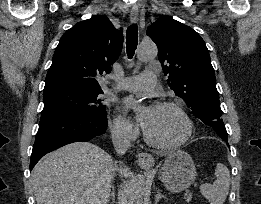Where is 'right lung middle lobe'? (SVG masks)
<instances>
[{
	"label": "right lung middle lobe",
	"mask_w": 261,
	"mask_h": 204,
	"mask_svg": "<svg viewBox=\"0 0 261 204\" xmlns=\"http://www.w3.org/2000/svg\"><path fill=\"white\" fill-rule=\"evenodd\" d=\"M102 90H63L44 94V108L41 115L59 111L106 112L98 95Z\"/></svg>",
	"instance_id": "right-lung-middle-lobe-1"
}]
</instances>
